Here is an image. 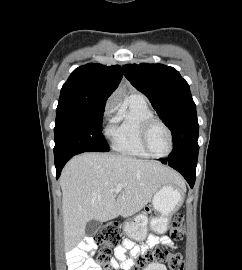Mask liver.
Returning a JSON list of instances; mask_svg holds the SVG:
<instances>
[{
	"label": "liver",
	"instance_id": "6515ba94",
	"mask_svg": "<svg viewBox=\"0 0 242 270\" xmlns=\"http://www.w3.org/2000/svg\"><path fill=\"white\" fill-rule=\"evenodd\" d=\"M170 183L184 186L178 173L155 161L95 152L72 158L60 177L65 247L82 240L90 220L132 216ZM118 184L123 188L115 193Z\"/></svg>",
	"mask_w": 242,
	"mask_h": 270
}]
</instances>
